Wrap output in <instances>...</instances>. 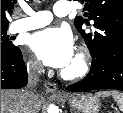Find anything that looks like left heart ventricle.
I'll list each match as a JSON object with an SVG mask.
<instances>
[{
	"label": "left heart ventricle",
	"instance_id": "obj_1",
	"mask_svg": "<svg viewBox=\"0 0 123 113\" xmlns=\"http://www.w3.org/2000/svg\"><path fill=\"white\" fill-rule=\"evenodd\" d=\"M72 64H73V63H71V65H69V67H67V68H70V67H72Z\"/></svg>",
	"mask_w": 123,
	"mask_h": 113
}]
</instances>
